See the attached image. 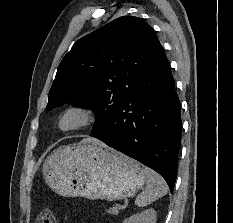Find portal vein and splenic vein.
Returning <instances> with one entry per match:
<instances>
[{
    "mask_svg": "<svg viewBox=\"0 0 233 223\" xmlns=\"http://www.w3.org/2000/svg\"><path fill=\"white\" fill-rule=\"evenodd\" d=\"M118 211H116L115 215H117Z\"/></svg>",
    "mask_w": 233,
    "mask_h": 223,
    "instance_id": "18ae733b",
    "label": "portal vein and splenic vein"
}]
</instances>
